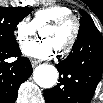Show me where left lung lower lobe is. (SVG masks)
<instances>
[{"instance_id": "0a47b994", "label": "left lung lower lobe", "mask_w": 103, "mask_h": 103, "mask_svg": "<svg viewBox=\"0 0 103 103\" xmlns=\"http://www.w3.org/2000/svg\"><path fill=\"white\" fill-rule=\"evenodd\" d=\"M56 67L59 83L44 91L46 103H90L103 71V41L98 29L79 36L68 57Z\"/></svg>"}]
</instances>
